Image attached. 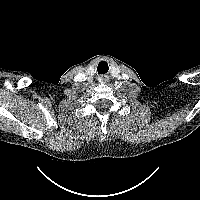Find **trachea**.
I'll return each mask as SVG.
<instances>
[{"label":"trachea","instance_id":"trachea-1","mask_svg":"<svg viewBox=\"0 0 200 200\" xmlns=\"http://www.w3.org/2000/svg\"><path fill=\"white\" fill-rule=\"evenodd\" d=\"M104 70L105 71L108 70V65H107V63L105 61H102L98 65V72L99 73H106V72H104Z\"/></svg>","mask_w":200,"mask_h":200}]
</instances>
